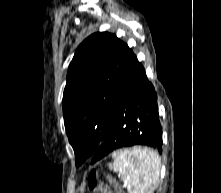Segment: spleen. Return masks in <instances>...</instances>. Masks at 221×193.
Returning <instances> with one entry per match:
<instances>
[{
  "label": "spleen",
  "instance_id": "1",
  "mask_svg": "<svg viewBox=\"0 0 221 193\" xmlns=\"http://www.w3.org/2000/svg\"><path fill=\"white\" fill-rule=\"evenodd\" d=\"M112 157L109 168L118 173L128 193H153L160 175L157 152L141 146H124Z\"/></svg>",
  "mask_w": 221,
  "mask_h": 193
}]
</instances>
